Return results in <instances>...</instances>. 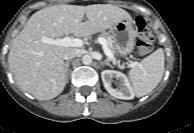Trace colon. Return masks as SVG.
Segmentation results:
<instances>
[{
    "label": "colon",
    "mask_w": 194,
    "mask_h": 133,
    "mask_svg": "<svg viewBox=\"0 0 194 133\" xmlns=\"http://www.w3.org/2000/svg\"><path fill=\"white\" fill-rule=\"evenodd\" d=\"M136 31L139 37L136 52L140 56L148 54L152 49L153 33L144 18L135 19Z\"/></svg>",
    "instance_id": "colon-1"
}]
</instances>
